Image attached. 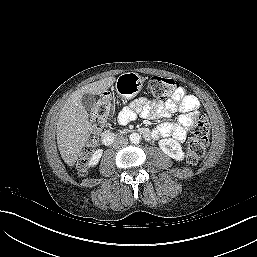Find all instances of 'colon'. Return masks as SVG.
<instances>
[{
  "label": "colon",
  "instance_id": "1",
  "mask_svg": "<svg viewBox=\"0 0 257 257\" xmlns=\"http://www.w3.org/2000/svg\"><path fill=\"white\" fill-rule=\"evenodd\" d=\"M150 94L158 99H164L177 89V82L171 78L154 76L147 83ZM115 99L110 93L102 94L96 101L94 110L90 118V141L89 146L78 161L79 171L86 169V160L90 152V147L97 142L100 131L106 126L110 119ZM190 120L192 124L193 136L189 142L187 150V162L191 165L196 164L206 152L209 143V122L205 115L200 113H191Z\"/></svg>",
  "mask_w": 257,
  "mask_h": 257
}]
</instances>
